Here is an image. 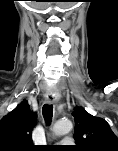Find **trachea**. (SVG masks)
I'll use <instances>...</instances> for the list:
<instances>
[{"instance_id": "3493384b", "label": "trachea", "mask_w": 118, "mask_h": 151, "mask_svg": "<svg viewBox=\"0 0 118 151\" xmlns=\"http://www.w3.org/2000/svg\"><path fill=\"white\" fill-rule=\"evenodd\" d=\"M42 114L47 124H50L53 117V106L45 104L42 108Z\"/></svg>"}]
</instances>
